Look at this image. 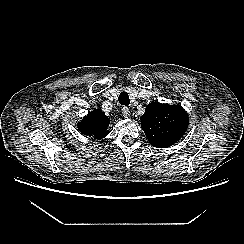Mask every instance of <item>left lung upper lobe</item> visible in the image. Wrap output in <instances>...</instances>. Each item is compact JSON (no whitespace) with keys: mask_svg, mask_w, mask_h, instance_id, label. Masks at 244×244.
<instances>
[{"mask_svg":"<svg viewBox=\"0 0 244 244\" xmlns=\"http://www.w3.org/2000/svg\"><path fill=\"white\" fill-rule=\"evenodd\" d=\"M141 128L149 143L156 148H167L185 134L189 119L180 105L151 102L142 115Z\"/></svg>","mask_w":244,"mask_h":244,"instance_id":"obj_1","label":"left lung upper lobe"}]
</instances>
